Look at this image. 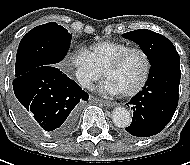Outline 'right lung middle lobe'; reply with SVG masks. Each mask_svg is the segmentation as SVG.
Instances as JSON below:
<instances>
[{
	"instance_id": "obj_1",
	"label": "right lung middle lobe",
	"mask_w": 190,
	"mask_h": 165,
	"mask_svg": "<svg viewBox=\"0 0 190 165\" xmlns=\"http://www.w3.org/2000/svg\"><path fill=\"white\" fill-rule=\"evenodd\" d=\"M72 35L56 22L30 30L21 40L15 65V77L41 66H54L69 49Z\"/></svg>"
}]
</instances>
